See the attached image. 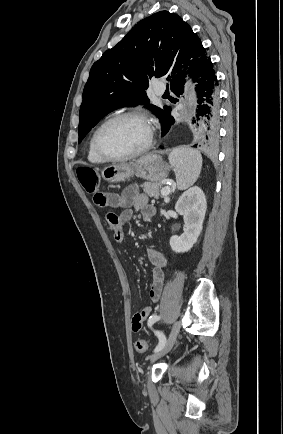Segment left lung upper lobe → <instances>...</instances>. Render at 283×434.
I'll return each instance as SVG.
<instances>
[{
    "instance_id": "left-lung-upper-lobe-1",
    "label": "left lung upper lobe",
    "mask_w": 283,
    "mask_h": 434,
    "mask_svg": "<svg viewBox=\"0 0 283 434\" xmlns=\"http://www.w3.org/2000/svg\"><path fill=\"white\" fill-rule=\"evenodd\" d=\"M208 58L177 14L160 11L141 20L93 64L80 107L79 143L104 116L125 106L144 105L163 126L171 109L150 104L145 91L150 79L165 77L170 87L178 85Z\"/></svg>"
}]
</instances>
